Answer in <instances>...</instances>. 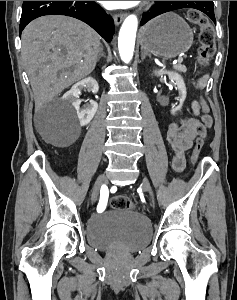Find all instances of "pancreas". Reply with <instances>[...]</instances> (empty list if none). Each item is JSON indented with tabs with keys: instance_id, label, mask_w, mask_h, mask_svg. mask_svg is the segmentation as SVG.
I'll return each mask as SVG.
<instances>
[{
	"instance_id": "pancreas-1",
	"label": "pancreas",
	"mask_w": 237,
	"mask_h": 300,
	"mask_svg": "<svg viewBox=\"0 0 237 300\" xmlns=\"http://www.w3.org/2000/svg\"><path fill=\"white\" fill-rule=\"evenodd\" d=\"M174 69H176V71H186V67H184V65L182 66L175 65Z\"/></svg>"
}]
</instances>
